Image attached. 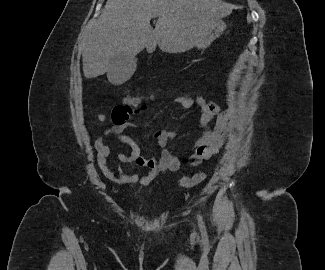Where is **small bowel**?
Segmentation results:
<instances>
[{
	"mask_svg": "<svg viewBox=\"0 0 325 270\" xmlns=\"http://www.w3.org/2000/svg\"><path fill=\"white\" fill-rule=\"evenodd\" d=\"M153 96V94L142 95ZM201 107V117L198 122L200 130L199 138L190 148L189 162L191 165H198L202 161L211 159L216 155L225 143L228 133L229 113L220 112V105L213 101H208L202 96L195 100ZM175 102L184 110L189 111L194 105V100L188 96L180 95L175 98ZM148 103H117L113 109L114 126L106 129L94 142L98 153V163L104 176L109 180L129 187L138 185H149L161 172L177 171L180 167V158L173 155L167 149L168 143L177 138V132L164 129L152 133L161 148L160 157H145L138 143L131 137L124 135V129L129 125L131 115H138L144 112ZM216 117L215 128L211 130L209 125ZM105 116L100 115L99 120L105 121ZM114 136L116 139L128 145L129 153L117 152L116 156L121 163L116 175L110 165L109 157L114 152L113 148L105 143V139ZM134 163L136 166L145 168L147 174L140 177L138 174H127L123 166Z\"/></svg>",
	"mask_w": 325,
	"mask_h": 270,
	"instance_id": "c3829d8e",
	"label": "small bowel"
}]
</instances>
